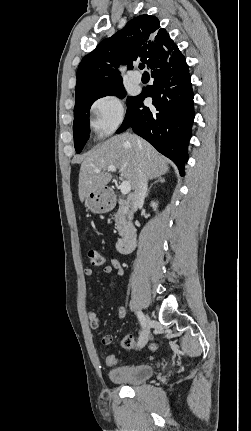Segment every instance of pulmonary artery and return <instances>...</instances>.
<instances>
[{
    "mask_svg": "<svg viewBox=\"0 0 251 431\" xmlns=\"http://www.w3.org/2000/svg\"><path fill=\"white\" fill-rule=\"evenodd\" d=\"M129 77L133 83H140L141 82V75L137 71H133Z\"/></svg>",
    "mask_w": 251,
    "mask_h": 431,
    "instance_id": "pulmonary-artery-1",
    "label": "pulmonary artery"
}]
</instances>
